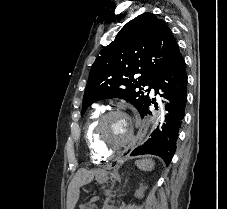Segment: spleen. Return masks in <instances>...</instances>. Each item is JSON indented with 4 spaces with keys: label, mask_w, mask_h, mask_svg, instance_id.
I'll return each instance as SVG.
<instances>
[{
    "label": "spleen",
    "mask_w": 227,
    "mask_h": 209,
    "mask_svg": "<svg viewBox=\"0 0 227 209\" xmlns=\"http://www.w3.org/2000/svg\"><path fill=\"white\" fill-rule=\"evenodd\" d=\"M135 165L138 169H141V171H152L155 163L152 159H141V161H136Z\"/></svg>",
    "instance_id": "obj_1"
}]
</instances>
